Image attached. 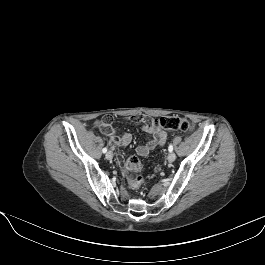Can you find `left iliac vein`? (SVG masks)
<instances>
[{
  "label": "left iliac vein",
  "instance_id": "obj_1",
  "mask_svg": "<svg viewBox=\"0 0 265 265\" xmlns=\"http://www.w3.org/2000/svg\"><path fill=\"white\" fill-rule=\"evenodd\" d=\"M167 159H168V161H169L170 163L174 162L175 159H176V155H175V153L170 152L169 155H168V157H167Z\"/></svg>",
  "mask_w": 265,
  "mask_h": 265
}]
</instances>
